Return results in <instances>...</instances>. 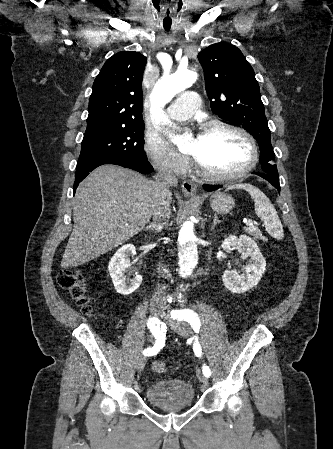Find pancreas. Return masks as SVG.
<instances>
[{"instance_id": "pancreas-1", "label": "pancreas", "mask_w": 333, "mask_h": 449, "mask_svg": "<svg viewBox=\"0 0 333 449\" xmlns=\"http://www.w3.org/2000/svg\"><path fill=\"white\" fill-rule=\"evenodd\" d=\"M245 230L249 235L253 236L256 239L262 238L261 231L257 227L249 226Z\"/></svg>"}]
</instances>
